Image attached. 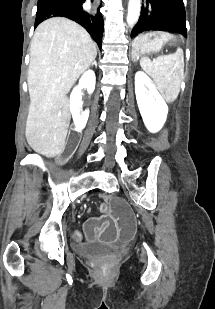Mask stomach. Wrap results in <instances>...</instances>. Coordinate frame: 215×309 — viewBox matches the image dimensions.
Listing matches in <instances>:
<instances>
[{
  "label": "stomach",
  "instance_id": "1",
  "mask_svg": "<svg viewBox=\"0 0 215 309\" xmlns=\"http://www.w3.org/2000/svg\"><path fill=\"white\" fill-rule=\"evenodd\" d=\"M169 47L177 48V51L181 54L176 36L165 31H151L134 38L131 54L132 58L136 60Z\"/></svg>",
  "mask_w": 215,
  "mask_h": 309
}]
</instances>
